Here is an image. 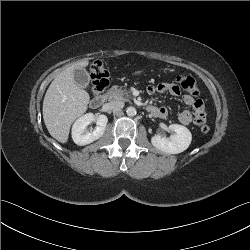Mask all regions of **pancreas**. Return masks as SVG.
<instances>
[{"instance_id": "pancreas-1", "label": "pancreas", "mask_w": 250, "mask_h": 250, "mask_svg": "<svg viewBox=\"0 0 250 250\" xmlns=\"http://www.w3.org/2000/svg\"><path fill=\"white\" fill-rule=\"evenodd\" d=\"M107 95L110 101H129L131 93L129 90L118 88L117 86L111 87Z\"/></svg>"}]
</instances>
